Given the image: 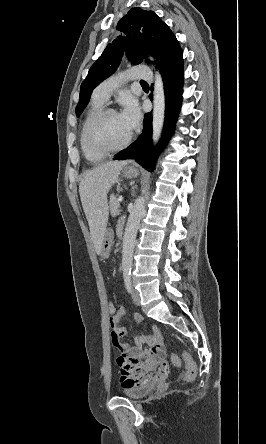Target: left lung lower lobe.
Masks as SVG:
<instances>
[{
	"label": "left lung lower lobe",
	"instance_id": "obj_1",
	"mask_svg": "<svg viewBox=\"0 0 266 444\" xmlns=\"http://www.w3.org/2000/svg\"><path fill=\"white\" fill-rule=\"evenodd\" d=\"M165 93V126L164 144L172 134L175 121L182 101L183 87V53L177 58L168 62L160 69ZM152 116L151 113L145 114V128L131 147L115 156V160L135 159L137 163L151 171L154 167L156 150L152 149Z\"/></svg>",
	"mask_w": 266,
	"mask_h": 444
}]
</instances>
